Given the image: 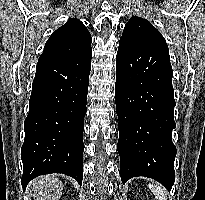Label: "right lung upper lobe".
<instances>
[{
    "label": "right lung upper lobe",
    "instance_id": "cb5924a9",
    "mask_svg": "<svg viewBox=\"0 0 205 200\" xmlns=\"http://www.w3.org/2000/svg\"><path fill=\"white\" fill-rule=\"evenodd\" d=\"M92 38L83 23L70 18L52 33L42 55H75L91 48Z\"/></svg>",
    "mask_w": 205,
    "mask_h": 200
}]
</instances>
